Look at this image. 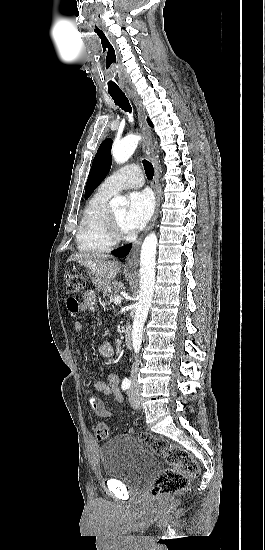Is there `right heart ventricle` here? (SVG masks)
Segmentation results:
<instances>
[{"instance_id":"e07e8e85","label":"right heart ventricle","mask_w":265,"mask_h":550,"mask_svg":"<svg viewBox=\"0 0 265 550\" xmlns=\"http://www.w3.org/2000/svg\"><path fill=\"white\" fill-rule=\"evenodd\" d=\"M112 195L100 186L87 202L76 233V244L80 251L108 252L113 246L106 228L108 201Z\"/></svg>"}]
</instances>
